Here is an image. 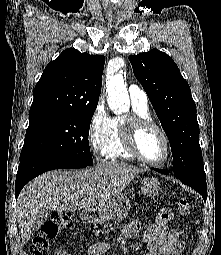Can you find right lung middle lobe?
<instances>
[{
	"label": "right lung middle lobe",
	"instance_id": "obj_1",
	"mask_svg": "<svg viewBox=\"0 0 221 255\" xmlns=\"http://www.w3.org/2000/svg\"><path fill=\"white\" fill-rule=\"evenodd\" d=\"M95 110H46L30 113L20 161L45 158L92 165L88 135Z\"/></svg>",
	"mask_w": 221,
	"mask_h": 255
}]
</instances>
